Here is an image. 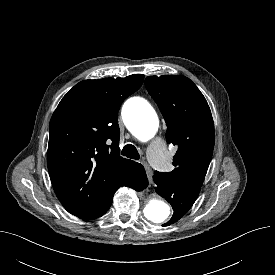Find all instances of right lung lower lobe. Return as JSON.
<instances>
[{"mask_svg":"<svg viewBox=\"0 0 275 275\" xmlns=\"http://www.w3.org/2000/svg\"><path fill=\"white\" fill-rule=\"evenodd\" d=\"M122 185L131 187L137 191L143 190L148 185V180L143 166L138 163V165H136L128 174V176L124 179ZM111 203L97 217L102 216L104 213H106L111 206Z\"/></svg>","mask_w":275,"mask_h":275,"instance_id":"right-lung-lower-lobe-1","label":"right lung lower lobe"}]
</instances>
